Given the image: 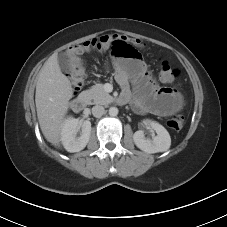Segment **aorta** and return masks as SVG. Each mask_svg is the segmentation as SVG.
I'll use <instances>...</instances> for the list:
<instances>
[{"mask_svg":"<svg viewBox=\"0 0 227 227\" xmlns=\"http://www.w3.org/2000/svg\"><path fill=\"white\" fill-rule=\"evenodd\" d=\"M117 114H118V109L116 107H110L109 115L110 116H117Z\"/></svg>","mask_w":227,"mask_h":227,"instance_id":"1","label":"aorta"}]
</instances>
